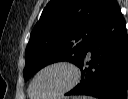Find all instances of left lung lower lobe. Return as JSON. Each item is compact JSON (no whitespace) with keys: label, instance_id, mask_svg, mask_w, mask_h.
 <instances>
[{"label":"left lung lower lobe","instance_id":"left-lung-lower-lobe-1","mask_svg":"<svg viewBox=\"0 0 128 99\" xmlns=\"http://www.w3.org/2000/svg\"><path fill=\"white\" fill-rule=\"evenodd\" d=\"M89 55L91 60L87 62ZM76 65L82 70L81 82L66 95L127 99L128 36L116 0H108L88 48Z\"/></svg>","mask_w":128,"mask_h":99}]
</instances>
